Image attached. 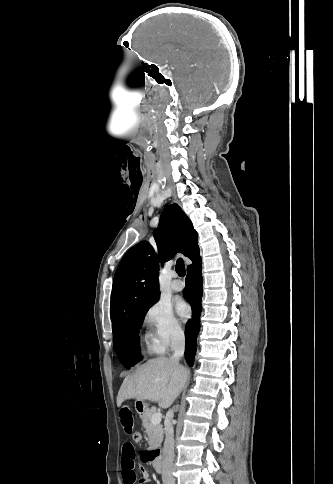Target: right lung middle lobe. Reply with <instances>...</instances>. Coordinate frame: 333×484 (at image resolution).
Here are the masks:
<instances>
[{"label": "right lung middle lobe", "instance_id": "obj_1", "mask_svg": "<svg viewBox=\"0 0 333 484\" xmlns=\"http://www.w3.org/2000/svg\"><path fill=\"white\" fill-rule=\"evenodd\" d=\"M155 302L128 316L113 336L114 350L127 369L142 360L139 350V329L145 314Z\"/></svg>", "mask_w": 333, "mask_h": 484}]
</instances>
